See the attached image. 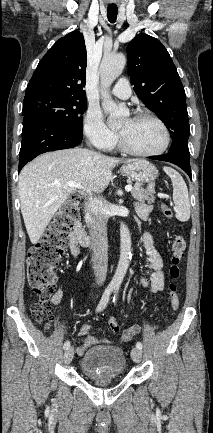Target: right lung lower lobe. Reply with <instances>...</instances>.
Returning <instances> with one entry per match:
<instances>
[{
  "instance_id": "98d812e1",
  "label": "right lung lower lobe",
  "mask_w": 213,
  "mask_h": 433,
  "mask_svg": "<svg viewBox=\"0 0 213 433\" xmlns=\"http://www.w3.org/2000/svg\"><path fill=\"white\" fill-rule=\"evenodd\" d=\"M82 139V135H77L44 117L24 116L18 172L36 156L48 151L75 147Z\"/></svg>"
}]
</instances>
